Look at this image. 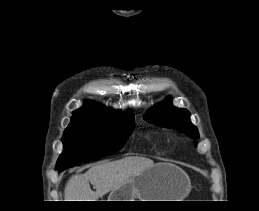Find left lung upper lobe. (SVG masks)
Instances as JSON below:
<instances>
[{"instance_id": "obj_1", "label": "left lung upper lobe", "mask_w": 259, "mask_h": 211, "mask_svg": "<svg viewBox=\"0 0 259 211\" xmlns=\"http://www.w3.org/2000/svg\"><path fill=\"white\" fill-rule=\"evenodd\" d=\"M189 117L190 113L186 109L173 107L167 98L163 103L153 106L144 119L160 126L177 129L193 139H198V130Z\"/></svg>"}]
</instances>
